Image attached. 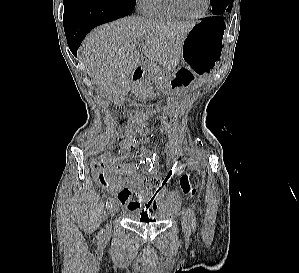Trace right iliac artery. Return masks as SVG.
I'll return each mask as SVG.
<instances>
[{"label": "right iliac artery", "mask_w": 299, "mask_h": 273, "mask_svg": "<svg viewBox=\"0 0 299 273\" xmlns=\"http://www.w3.org/2000/svg\"><path fill=\"white\" fill-rule=\"evenodd\" d=\"M113 202H114V199L113 198H109V199H107V201H106V207L107 208H110V206L113 204ZM103 232H101L100 234H102Z\"/></svg>", "instance_id": "right-iliac-artery-1"}]
</instances>
